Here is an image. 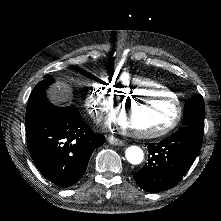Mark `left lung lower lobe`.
Masks as SVG:
<instances>
[{"label": "left lung lower lobe", "mask_w": 221, "mask_h": 221, "mask_svg": "<svg viewBox=\"0 0 221 221\" xmlns=\"http://www.w3.org/2000/svg\"><path fill=\"white\" fill-rule=\"evenodd\" d=\"M203 132L183 127L159 143H148V163L133 175L147 192L175 186L189 170L202 145Z\"/></svg>", "instance_id": "left-lung-lower-lobe-1"}]
</instances>
